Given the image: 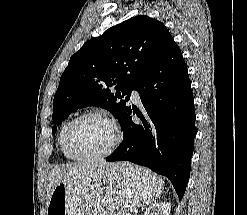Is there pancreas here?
I'll list each match as a JSON object with an SVG mask.
<instances>
[{
	"label": "pancreas",
	"mask_w": 247,
	"mask_h": 215,
	"mask_svg": "<svg viewBox=\"0 0 247 215\" xmlns=\"http://www.w3.org/2000/svg\"><path fill=\"white\" fill-rule=\"evenodd\" d=\"M126 214H127V211L120 210V211H117V212L113 211L109 215H126Z\"/></svg>",
	"instance_id": "1"
}]
</instances>
